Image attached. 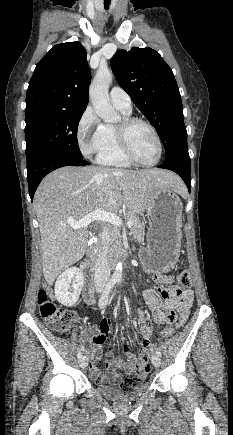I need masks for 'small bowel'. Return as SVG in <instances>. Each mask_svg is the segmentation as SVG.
I'll return each instance as SVG.
<instances>
[{"label":"small bowel","mask_w":233,"mask_h":435,"mask_svg":"<svg viewBox=\"0 0 233 435\" xmlns=\"http://www.w3.org/2000/svg\"><path fill=\"white\" fill-rule=\"evenodd\" d=\"M160 285L147 288L143 292V298L153 312L154 319L159 325H163L159 330L148 324V320L143 312L139 311L138 316L143 323L140 327L143 348L138 358L129 352V346L122 341V350L126 353V360L115 358L113 353L107 354L105 362L106 373H102L96 366L97 360L102 353V346L111 331L112 323L109 319H101L99 325L89 324L80 331V348L87 354L92 363L90 365V374L97 384L104 383H121L122 377L116 368H125L128 372L139 370L137 380H143L147 377L149 371L146 368V358L153 350L148 345L150 339L156 332L158 337L168 336L173 332L175 327L182 324L186 318L185 311H188L193 302V292L190 288H183L177 285H171L173 277L171 275H162L155 273L152 275ZM166 320L168 323L165 324ZM92 336H96L94 342H90Z\"/></svg>","instance_id":"1"}]
</instances>
